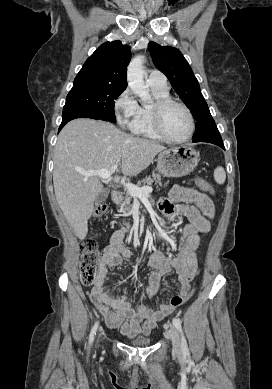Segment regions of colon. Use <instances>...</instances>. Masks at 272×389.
Here are the masks:
<instances>
[{
    "label": "colon",
    "instance_id": "1",
    "mask_svg": "<svg viewBox=\"0 0 272 389\" xmlns=\"http://www.w3.org/2000/svg\"><path fill=\"white\" fill-rule=\"evenodd\" d=\"M198 187L204 192H211V185L203 178L197 179ZM107 211L105 203H99L95 208V216L102 217ZM82 256L79 265L80 281L84 286H91L96 280L97 271L102 263V253L98 244L87 239L81 245ZM189 298V294H177L170 300V306L176 308L183 304Z\"/></svg>",
    "mask_w": 272,
    "mask_h": 389
}]
</instances>
